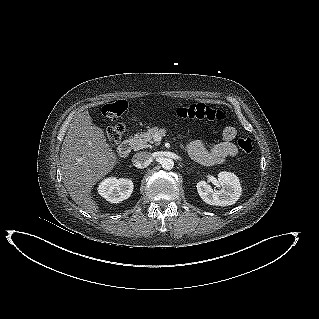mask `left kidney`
<instances>
[{
	"label": "left kidney",
	"instance_id": "left-kidney-1",
	"mask_svg": "<svg viewBox=\"0 0 319 319\" xmlns=\"http://www.w3.org/2000/svg\"><path fill=\"white\" fill-rule=\"evenodd\" d=\"M218 182L222 188L213 190L206 181H199L196 187L201 199L207 204L216 206L235 204L242 191L239 178L231 172H220Z\"/></svg>",
	"mask_w": 319,
	"mask_h": 319
}]
</instances>
